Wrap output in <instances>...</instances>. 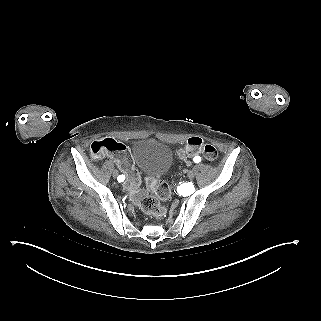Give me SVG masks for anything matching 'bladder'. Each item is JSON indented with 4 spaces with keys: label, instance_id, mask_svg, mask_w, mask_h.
Returning a JSON list of instances; mask_svg holds the SVG:
<instances>
[{
    "label": "bladder",
    "instance_id": "1",
    "mask_svg": "<svg viewBox=\"0 0 321 321\" xmlns=\"http://www.w3.org/2000/svg\"><path fill=\"white\" fill-rule=\"evenodd\" d=\"M134 165L149 179L162 177L172 162L170 149L155 139H140L131 150Z\"/></svg>",
    "mask_w": 321,
    "mask_h": 321
}]
</instances>
